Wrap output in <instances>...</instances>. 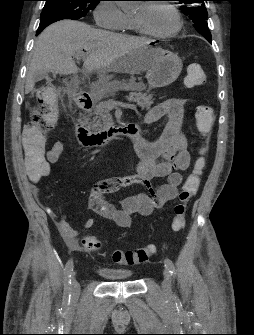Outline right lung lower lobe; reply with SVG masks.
Returning a JSON list of instances; mask_svg holds the SVG:
<instances>
[{
    "instance_id": "1",
    "label": "right lung lower lobe",
    "mask_w": 254,
    "mask_h": 335,
    "mask_svg": "<svg viewBox=\"0 0 254 335\" xmlns=\"http://www.w3.org/2000/svg\"><path fill=\"white\" fill-rule=\"evenodd\" d=\"M62 19H64V18H47V19L41 20L40 24H39V27L37 29L36 35H38L48 25H50V24H52L56 21L62 20Z\"/></svg>"
}]
</instances>
